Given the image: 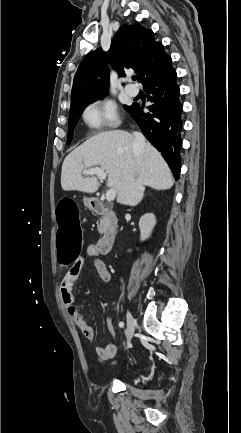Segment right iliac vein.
Instances as JSON below:
<instances>
[{
    "instance_id": "right-iliac-vein-1",
    "label": "right iliac vein",
    "mask_w": 241,
    "mask_h": 433,
    "mask_svg": "<svg viewBox=\"0 0 241 433\" xmlns=\"http://www.w3.org/2000/svg\"><path fill=\"white\" fill-rule=\"evenodd\" d=\"M136 321L131 315V313L127 312V341L129 342L132 338V335L134 333V325Z\"/></svg>"
}]
</instances>
